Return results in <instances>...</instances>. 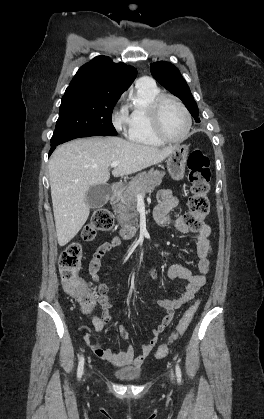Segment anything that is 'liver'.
Wrapping results in <instances>:
<instances>
[{
  "label": "liver",
  "instance_id": "obj_1",
  "mask_svg": "<svg viewBox=\"0 0 264 419\" xmlns=\"http://www.w3.org/2000/svg\"><path fill=\"white\" fill-rule=\"evenodd\" d=\"M174 150L129 142L120 137L76 139L60 145L49 161V180L58 244L65 246L88 219L86 195L91 186L106 184L109 166L119 162L114 177L158 164Z\"/></svg>",
  "mask_w": 264,
  "mask_h": 419
}]
</instances>
